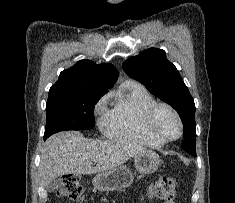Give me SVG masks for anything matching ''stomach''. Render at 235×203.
<instances>
[{
	"label": "stomach",
	"mask_w": 235,
	"mask_h": 203,
	"mask_svg": "<svg viewBox=\"0 0 235 203\" xmlns=\"http://www.w3.org/2000/svg\"><path fill=\"white\" fill-rule=\"evenodd\" d=\"M136 170L140 174H151L160 165V157L151 150H144L134 156ZM133 172L126 166H119L112 170L98 173L93 178V185L100 191H114L126 188L133 183Z\"/></svg>",
	"instance_id": "0dacf381"
}]
</instances>
